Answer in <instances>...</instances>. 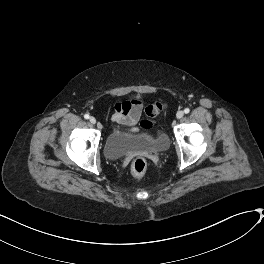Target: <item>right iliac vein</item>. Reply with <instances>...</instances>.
<instances>
[{
	"instance_id": "right-iliac-vein-1",
	"label": "right iliac vein",
	"mask_w": 264,
	"mask_h": 264,
	"mask_svg": "<svg viewBox=\"0 0 264 264\" xmlns=\"http://www.w3.org/2000/svg\"><path fill=\"white\" fill-rule=\"evenodd\" d=\"M90 122L92 123V124H95L96 123V119L94 118V117H90Z\"/></svg>"
}]
</instances>
